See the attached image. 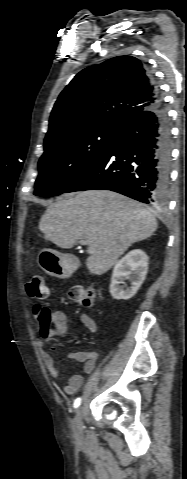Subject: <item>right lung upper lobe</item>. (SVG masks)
Here are the masks:
<instances>
[{
  "label": "right lung upper lobe",
  "instance_id": "1",
  "mask_svg": "<svg viewBox=\"0 0 187 479\" xmlns=\"http://www.w3.org/2000/svg\"><path fill=\"white\" fill-rule=\"evenodd\" d=\"M160 99L144 65L118 56L79 72L59 95L44 144L68 133L92 128L121 129Z\"/></svg>",
  "mask_w": 187,
  "mask_h": 479
}]
</instances>
